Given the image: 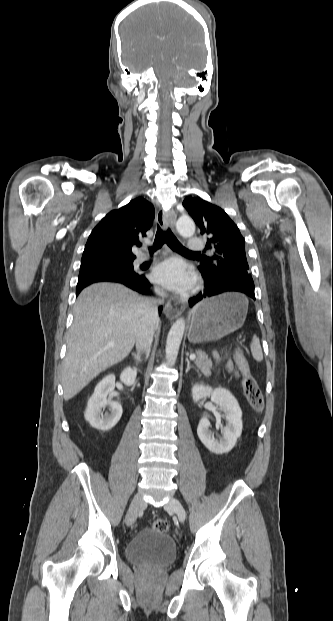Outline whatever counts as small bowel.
<instances>
[{
    "label": "small bowel",
    "instance_id": "1",
    "mask_svg": "<svg viewBox=\"0 0 333 621\" xmlns=\"http://www.w3.org/2000/svg\"><path fill=\"white\" fill-rule=\"evenodd\" d=\"M214 357H215V359H216L217 361H219V356H218V355H216V354H215V356H214ZM225 368H226L228 371L233 372V373H235L236 375H238V374H237V372L234 370L233 364H232L229 360H227V361L225 362Z\"/></svg>",
    "mask_w": 333,
    "mask_h": 621
}]
</instances>
